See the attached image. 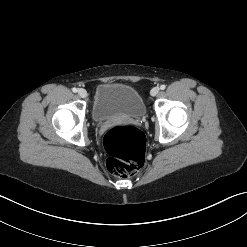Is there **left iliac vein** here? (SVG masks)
Returning a JSON list of instances; mask_svg holds the SVG:
<instances>
[{
    "label": "left iliac vein",
    "mask_w": 247,
    "mask_h": 247,
    "mask_svg": "<svg viewBox=\"0 0 247 247\" xmlns=\"http://www.w3.org/2000/svg\"><path fill=\"white\" fill-rule=\"evenodd\" d=\"M159 90L160 89L158 87H154V88L151 89L150 93H151L152 96H156L159 93Z\"/></svg>",
    "instance_id": "obj_1"
}]
</instances>
